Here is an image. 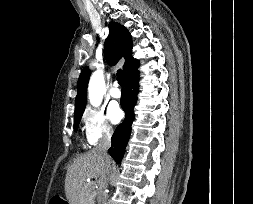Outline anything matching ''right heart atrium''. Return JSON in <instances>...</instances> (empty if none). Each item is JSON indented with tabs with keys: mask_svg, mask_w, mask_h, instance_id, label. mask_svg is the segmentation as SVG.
<instances>
[{
	"mask_svg": "<svg viewBox=\"0 0 253 204\" xmlns=\"http://www.w3.org/2000/svg\"><path fill=\"white\" fill-rule=\"evenodd\" d=\"M83 129L89 145H96L113 134V127L105 113L97 108L88 107L83 116Z\"/></svg>",
	"mask_w": 253,
	"mask_h": 204,
	"instance_id": "obj_1",
	"label": "right heart atrium"
}]
</instances>
